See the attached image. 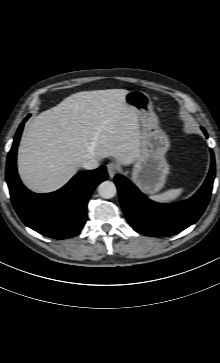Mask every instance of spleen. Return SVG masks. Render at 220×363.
<instances>
[{"label": "spleen", "mask_w": 220, "mask_h": 363, "mask_svg": "<svg viewBox=\"0 0 220 363\" xmlns=\"http://www.w3.org/2000/svg\"><path fill=\"white\" fill-rule=\"evenodd\" d=\"M182 192H183V188L170 189L161 194L152 196L151 199L153 201H156L159 203H168V202H171V201L177 199L181 195Z\"/></svg>", "instance_id": "3e777b00"}]
</instances>
